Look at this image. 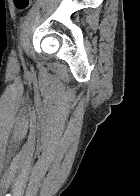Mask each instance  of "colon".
<instances>
[{
  "label": "colon",
  "instance_id": "obj_1",
  "mask_svg": "<svg viewBox=\"0 0 140 196\" xmlns=\"http://www.w3.org/2000/svg\"><path fill=\"white\" fill-rule=\"evenodd\" d=\"M24 2H29V0H26V1H24V0H14V3H15V5L18 7L19 5H21V4H23Z\"/></svg>",
  "mask_w": 140,
  "mask_h": 196
}]
</instances>
